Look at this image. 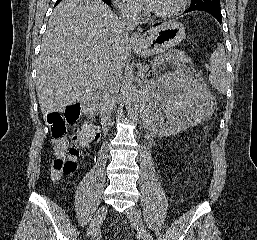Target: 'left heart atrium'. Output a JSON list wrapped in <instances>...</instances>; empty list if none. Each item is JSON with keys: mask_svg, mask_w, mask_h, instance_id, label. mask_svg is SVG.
I'll return each instance as SVG.
<instances>
[{"mask_svg": "<svg viewBox=\"0 0 257 240\" xmlns=\"http://www.w3.org/2000/svg\"><path fill=\"white\" fill-rule=\"evenodd\" d=\"M141 4L149 10H152L155 7L157 0H139Z\"/></svg>", "mask_w": 257, "mask_h": 240, "instance_id": "left-heart-atrium-1", "label": "left heart atrium"}]
</instances>
